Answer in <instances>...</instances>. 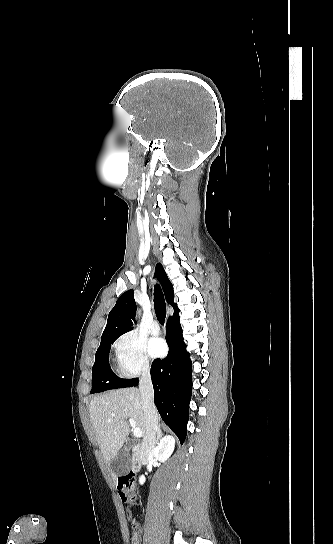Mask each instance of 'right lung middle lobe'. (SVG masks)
Segmentation results:
<instances>
[{
  "mask_svg": "<svg viewBox=\"0 0 333 544\" xmlns=\"http://www.w3.org/2000/svg\"><path fill=\"white\" fill-rule=\"evenodd\" d=\"M119 336L102 339L95 355L92 368V390L90 393H99L110 389L129 387L137 379L127 380L116 376L109 366V351L111 344Z\"/></svg>",
  "mask_w": 333,
  "mask_h": 544,
  "instance_id": "right-lung-middle-lobe-1",
  "label": "right lung middle lobe"
}]
</instances>
